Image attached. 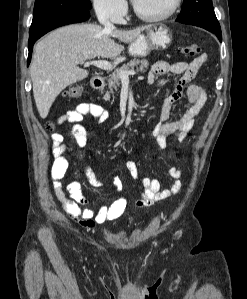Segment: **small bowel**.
<instances>
[{"label":"small bowel","instance_id":"small-bowel-1","mask_svg":"<svg viewBox=\"0 0 247 299\" xmlns=\"http://www.w3.org/2000/svg\"><path fill=\"white\" fill-rule=\"evenodd\" d=\"M206 60V54H201L190 62L180 61L170 64L166 61H158L150 70L147 78L150 84L154 83L157 76L168 73L181 76L172 94L164 101L159 122L152 131V135L160 148L167 146V137L173 133H177L178 140L182 142L193 127L195 116L205 105L207 100L206 92L201 86L191 82ZM184 95L188 98L189 102L187 109L177 119L170 120L173 105ZM87 115L94 117L100 122H104L109 118L108 111L99 104L82 102L65 112L58 119L60 124L68 122L72 125V136L76 145L80 148L85 147L87 144L86 130L81 124ZM52 141V153L55 157L52 168L53 188L55 196L61 203L66 214L89 230L94 229L97 225L118 219L124 213L127 206L124 197L119 196L110 205H103L98 209H93L88 206V201L81 191L79 182H71L66 186L65 190L63 189L59 180L63 177L69 166V161L65 154L73 148L64 144V137L60 133H54ZM126 167L134 179L138 178L139 171L134 161H127ZM169 174L176 179L170 189H162L158 179L143 178L142 196L136 201L135 205L138 208H148L155 203L162 202L173 195L179 194L182 190V182L180 180L181 171L176 167H170ZM83 175L88 183L95 188H100L104 185L102 178L88 167H84ZM113 183L117 191L120 192L123 187L121 178L115 177ZM66 193L69 194V197Z\"/></svg>","mask_w":247,"mask_h":299}]
</instances>
